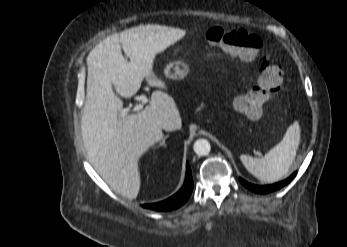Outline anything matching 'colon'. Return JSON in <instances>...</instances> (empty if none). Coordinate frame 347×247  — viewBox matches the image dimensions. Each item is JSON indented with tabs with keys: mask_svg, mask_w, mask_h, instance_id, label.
<instances>
[{
	"mask_svg": "<svg viewBox=\"0 0 347 247\" xmlns=\"http://www.w3.org/2000/svg\"><path fill=\"white\" fill-rule=\"evenodd\" d=\"M205 40L226 53L239 57L244 61L258 62L257 86H249L244 95L237 99V108L250 117H258L261 113L264 96L277 93L283 86L280 67L269 61L261 52L262 39L244 29H223L211 27L205 32Z\"/></svg>",
	"mask_w": 347,
	"mask_h": 247,
	"instance_id": "obj_1",
	"label": "colon"
}]
</instances>
